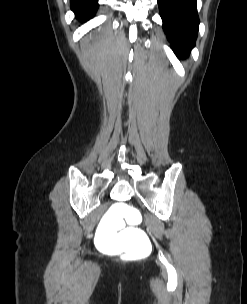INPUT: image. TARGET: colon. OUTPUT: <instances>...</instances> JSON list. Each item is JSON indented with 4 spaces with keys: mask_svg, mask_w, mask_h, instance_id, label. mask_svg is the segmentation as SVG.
<instances>
[{
    "mask_svg": "<svg viewBox=\"0 0 247 304\" xmlns=\"http://www.w3.org/2000/svg\"><path fill=\"white\" fill-rule=\"evenodd\" d=\"M133 202H114L99 220L93 235L99 253H125L126 259H149L153 243Z\"/></svg>",
    "mask_w": 247,
    "mask_h": 304,
    "instance_id": "5ec220e1",
    "label": "colon"
}]
</instances>
